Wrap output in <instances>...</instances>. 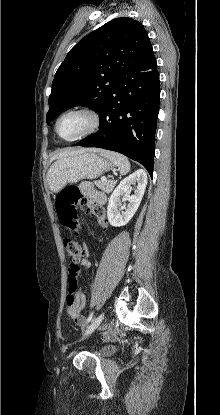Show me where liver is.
<instances>
[{
	"label": "liver",
	"instance_id": "liver-1",
	"mask_svg": "<svg viewBox=\"0 0 220 415\" xmlns=\"http://www.w3.org/2000/svg\"><path fill=\"white\" fill-rule=\"evenodd\" d=\"M83 151H84V150H78V151H66V152L59 153L58 155H56V156H55V158H57V159H61V158L66 157V156L77 155V154L82 153Z\"/></svg>",
	"mask_w": 220,
	"mask_h": 415
}]
</instances>
